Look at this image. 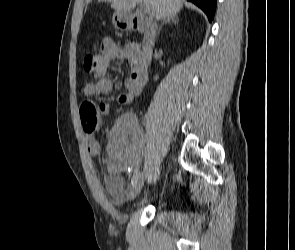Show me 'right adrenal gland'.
<instances>
[{
  "label": "right adrenal gland",
  "mask_w": 295,
  "mask_h": 250,
  "mask_svg": "<svg viewBox=\"0 0 295 250\" xmlns=\"http://www.w3.org/2000/svg\"><path fill=\"white\" fill-rule=\"evenodd\" d=\"M170 22H172V23H178V22H179V18H178L176 15H175V16H170V17H168V18L165 20V22H163V23L160 25V27H159V31L161 30L163 24H167V23H170Z\"/></svg>",
  "instance_id": "obj_1"
}]
</instances>
